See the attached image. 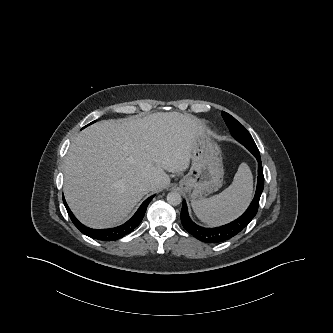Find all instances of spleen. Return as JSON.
<instances>
[{
    "label": "spleen",
    "mask_w": 333,
    "mask_h": 333,
    "mask_svg": "<svg viewBox=\"0 0 333 333\" xmlns=\"http://www.w3.org/2000/svg\"><path fill=\"white\" fill-rule=\"evenodd\" d=\"M253 177L250 168L242 163L232 184L221 193L207 199L192 200L196 216L204 223L216 226L240 216L252 198Z\"/></svg>",
    "instance_id": "3e777b00"
}]
</instances>
